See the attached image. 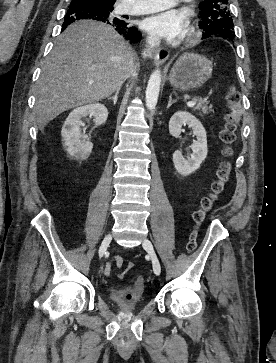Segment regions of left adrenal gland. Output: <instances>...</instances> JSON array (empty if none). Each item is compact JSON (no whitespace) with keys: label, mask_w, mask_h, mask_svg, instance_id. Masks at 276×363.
<instances>
[{"label":"left adrenal gland","mask_w":276,"mask_h":363,"mask_svg":"<svg viewBox=\"0 0 276 363\" xmlns=\"http://www.w3.org/2000/svg\"><path fill=\"white\" fill-rule=\"evenodd\" d=\"M176 101L177 100H172V95H170L169 96V102H168V105H167V109H169L173 103H176Z\"/></svg>","instance_id":"left-adrenal-gland-1"}]
</instances>
